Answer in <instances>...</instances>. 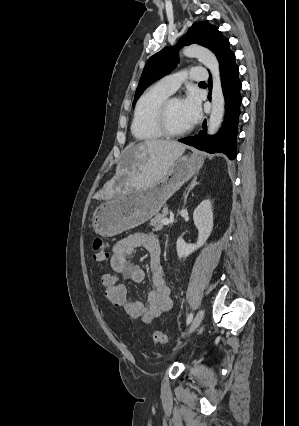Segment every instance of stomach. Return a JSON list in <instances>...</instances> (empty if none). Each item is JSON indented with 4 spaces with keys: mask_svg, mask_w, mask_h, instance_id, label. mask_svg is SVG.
I'll return each mask as SVG.
<instances>
[{
    "mask_svg": "<svg viewBox=\"0 0 299 426\" xmlns=\"http://www.w3.org/2000/svg\"><path fill=\"white\" fill-rule=\"evenodd\" d=\"M203 163L204 157L198 152L180 156L159 181L144 188H131L102 203L93 212V230L101 236L112 237L145 223L200 170Z\"/></svg>",
    "mask_w": 299,
    "mask_h": 426,
    "instance_id": "stomach-1",
    "label": "stomach"
}]
</instances>
